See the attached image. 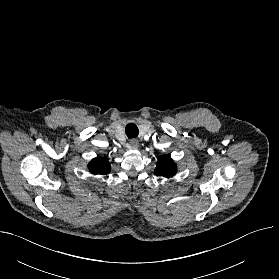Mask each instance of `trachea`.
Listing matches in <instances>:
<instances>
[{
	"label": "trachea",
	"instance_id": "trachea-1",
	"mask_svg": "<svg viewBox=\"0 0 279 279\" xmlns=\"http://www.w3.org/2000/svg\"><path fill=\"white\" fill-rule=\"evenodd\" d=\"M125 132L128 138H136L138 136L139 130L135 124L130 123L126 126Z\"/></svg>",
	"mask_w": 279,
	"mask_h": 279
}]
</instances>
